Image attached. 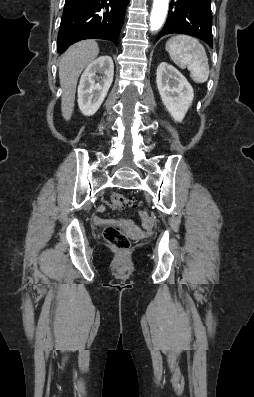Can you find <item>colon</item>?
<instances>
[{
	"instance_id": "colon-1",
	"label": "colon",
	"mask_w": 254,
	"mask_h": 397,
	"mask_svg": "<svg viewBox=\"0 0 254 397\" xmlns=\"http://www.w3.org/2000/svg\"><path fill=\"white\" fill-rule=\"evenodd\" d=\"M112 206L116 209L139 208L140 205L131 196L120 193H112L110 195ZM107 242L119 251H126L131 246L129 237L118 226H108L104 231Z\"/></svg>"
}]
</instances>
